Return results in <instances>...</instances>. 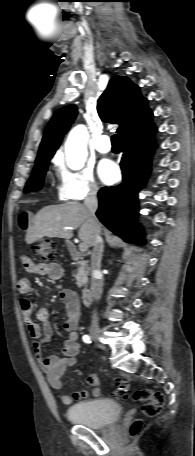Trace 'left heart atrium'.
Returning <instances> with one entry per match:
<instances>
[{"instance_id": "1", "label": "left heart atrium", "mask_w": 195, "mask_h": 456, "mask_svg": "<svg viewBox=\"0 0 195 456\" xmlns=\"http://www.w3.org/2000/svg\"><path fill=\"white\" fill-rule=\"evenodd\" d=\"M97 170L100 179L105 184H111L115 182L119 174L117 165L108 159L100 161Z\"/></svg>"}]
</instances>
